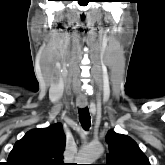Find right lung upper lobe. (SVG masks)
<instances>
[{"label": "right lung upper lobe", "instance_id": "right-lung-upper-lobe-1", "mask_svg": "<svg viewBox=\"0 0 165 165\" xmlns=\"http://www.w3.org/2000/svg\"><path fill=\"white\" fill-rule=\"evenodd\" d=\"M65 145L66 138L60 123L32 129L16 142L7 165H65Z\"/></svg>", "mask_w": 165, "mask_h": 165}]
</instances>
